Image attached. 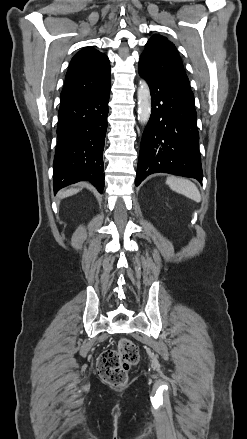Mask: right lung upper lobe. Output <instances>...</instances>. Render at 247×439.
<instances>
[{
    "label": "right lung upper lobe",
    "mask_w": 247,
    "mask_h": 439,
    "mask_svg": "<svg viewBox=\"0 0 247 439\" xmlns=\"http://www.w3.org/2000/svg\"><path fill=\"white\" fill-rule=\"evenodd\" d=\"M110 79L108 57L93 47H85L70 62L61 101L103 89Z\"/></svg>",
    "instance_id": "cb5924a9"
}]
</instances>
